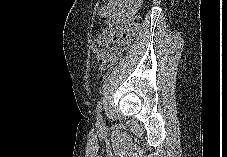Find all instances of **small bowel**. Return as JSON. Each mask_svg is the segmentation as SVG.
Returning <instances> with one entry per match:
<instances>
[{"mask_svg": "<svg viewBox=\"0 0 227 157\" xmlns=\"http://www.w3.org/2000/svg\"><path fill=\"white\" fill-rule=\"evenodd\" d=\"M142 0H110L99 9V16L109 26H115L113 39L120 38L131 22V17L141 5Z\"/></svg>", "mask_w": 227, "mask_h": 157, "instance_id": "c3829d8e", "label": "small bowel"}]
</instances>
